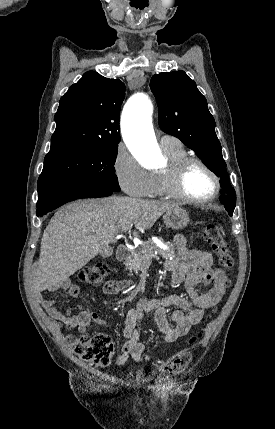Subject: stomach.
<instances>
[{
	"instance_id": "stomach-1",
	"label": "stomach",
	"mask_w": 275,
	"mask_h": 429,
	"mask_svg": "<svg viewBox=\"0 0 275 429\" xmlns=\"http://www.w3.org/2000/svg\"><path fill=\"white\" fill-rule=\"evenodd\" d=\"M165 225L174 230L185 228L190 219L187 211L181 207H174L165 212L163 215Z\"/></svg>"
}]
</instances>
